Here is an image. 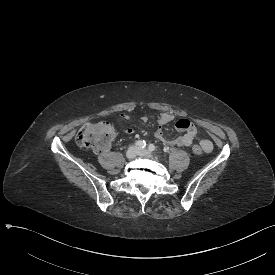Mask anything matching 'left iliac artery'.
<instances>
[{"label": "left iliac artery", "instance_id": "1", "mask_svg": "<svg viewBox=\"0 0 275 275\" xmlns=\"http://www.w3.org/2000/svg\"><path fill=\"white\" fill-rule=\"evenodd\" d=\"M148 149H149V151H151V152H154V151H157V150H158V148H157L154 144H150V145L148 146Z\"/></svg>", "mask_w": 275, "mask_h": 275}]
</instances>
